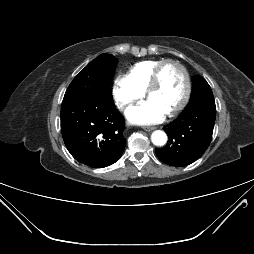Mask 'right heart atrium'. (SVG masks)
Wrapping results in <instances>:
<instances>
[{
    "mask_svg": "<svg viewBox=\"0 0 254 254\" xmlns=\"http://www.w3.org/2000/svg\"><path fill=\"white\" fill-rule=\"evenodd\" d=\"M112 93L116 105L121 110L144 96V92L137 88L127 75H118L115 78Z\"/></svg>",
    "mask_w": 254,
    "mask_h": 254,
    "instance_id": "d8ad5b80",
    "label": "right heart atrium"
}]
</instances>
